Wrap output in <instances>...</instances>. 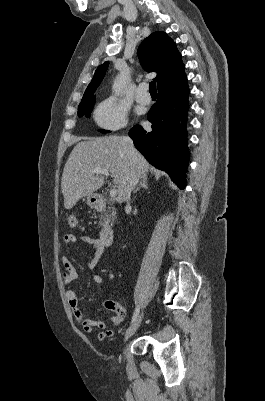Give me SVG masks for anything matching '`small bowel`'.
Masks as SVG:
<instances>
[{
	"label": "small bowel",
	"instance_id": "1",
	"mask_svg": "<svg viewBox=\"0 0 265 401\" xmlns=\"http://www.w3.org/2000/svg\"><path fill=\"white\" fill-rule=\"evenodd\" d=\"M80 240L89 245L93 250H94V255L92 259L88 260L86 262V265L90 269H94L104 252V246L102 245L100 239L93 238L89 235H82L80 236ZM77 241V237L74 234H66L63 237V242L65 244H74ZM62 266H63V283L65 285L71 284L76 278H77V271L71 260L67 256H63L61 259ZM92 280L96 284H103L104 279L101 275L95 274L92 277ZM67 302L69 304V307L73 313L74 318L76 321L81 325L83 331L87 334L92 333L95 329L102 330L98 334V340L99 341H104L106 339L111 338L114 335V332L112 330H104L106 327V324L102 320H93V319H88L84 316L82 313L81 309L79 308L78 305V297L77 294L74 290L69 289L65 293ZM111 302H107L106 306L110 308L109 304ZM114 304V303H113ZM112 309L115 314L111 317V322L114 326H118L125 318L126 312L125 309L118 305L114 304V307L110 308Z\"/></svg>",
	"mask_w": 265,
	"mask_h": 401
}]
</instances>
